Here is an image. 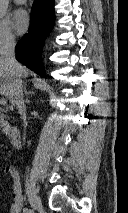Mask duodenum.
<instances>
[{
    "label": "duodenum",
    "instance_id": "duodenum-1",
    "mask_svg": "<svg viewBox=\"0 0 128 213\" xmlns=\"http://www.w3.org/2000/svg\"><path fill=\"white\" fill-rule=\"evenodd\" d=\"M1 119H5L4 115H0ZM7 136L14 147H18L20 144L21 134L17 127L7 123L6 125Z\"/></svg>",
    "mask_w": 128,
    "mask_h": 213
}]
</instances>
